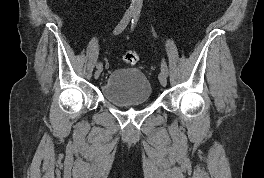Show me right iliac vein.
I'll return each mask as SVG.
<instances>
[{
    "mask_svg": "<svg viewBox=\"0 0 264 178\" xmlns=\"http://www.w3.org/2000/svg\"><path fill=\"white\" fill-rule=\"evenodd\" d=\"M101 72H102V68H99V69H97V70L95 71V73H94V77H95V79H97V78L100 76Z\"/></svg>",
    "mask_w": 264,
    "mask_h": 178,
    "instance_id": "obj_1",
    "label": "right iliac vein"
}]
</instances>
